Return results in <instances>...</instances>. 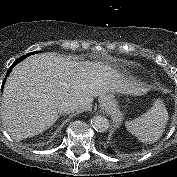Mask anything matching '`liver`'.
<instances>
[{
  "instance_id": "obj_1",
  "label": "liver",
  "mask_w": 177,
  "mask_h": 177,
  "mask_svg": "<svg viewBox=\"0 0 177 177\" xmlns=\"http://www.w3.org/2000/svg\"><path fill=\"white\" fill-rule=\"evenodd\" d=\"M131 84L101 62H76L56 53L32 55L15 66L4 87L1 115L17 140L36 136L58 119L65 100L89 109L94 97L131 94Z\"/></svg>"
}]
</instances>
